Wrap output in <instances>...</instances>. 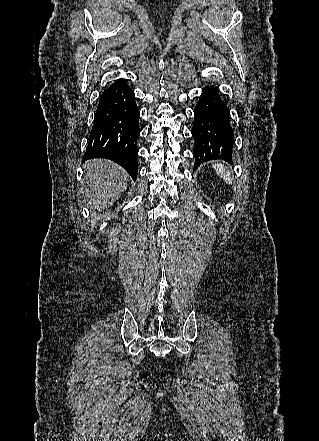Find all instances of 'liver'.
I'll return each instance as SVG.
<instances>
[{
	"label": "liver",
	"instance_id": "liver-1",
	"mask_svg": "<svg viewBox=\"0 0 319 441\" xmlns=\"http://www.w3.org/2000/svg\"><path fill=\"white\" fill-rule=\"evenodd\" d=\"M85 180L78 197L93 211L111 206L126 190L129 175L106 159H92L83 165Z\"/></svg>",
	"mask_w": 319,
	"mask_h": 441
}]
</instances>
